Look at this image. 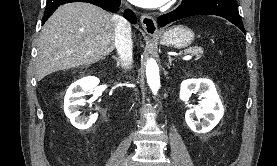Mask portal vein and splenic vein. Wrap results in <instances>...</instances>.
Listing matches in <instances>:
<instances>
[{
    "label": "portal vein and splenic vein",
    "mask_w": 277,
    "mask_h": 166,
    "mask_svg": "<svg viewBox=\"0 0 277 166\" xmlns=\"http://www.w3.org/2000/svg\"><path fill=\"white\" fill-rule=\"evenodd\" d=\"M191 58H192V55H186V56L183 57L184 60H189Z\"/></svg>",
    "instance_id": "portal-vein-and-splenic-vein-1"
}]
</instances>
